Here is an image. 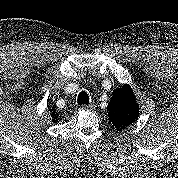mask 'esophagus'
Segmentation results:
<instances>
[{
    "label": "esophagus",
    "instance_id": "34e87169",
    "mask_svg": "<svg viewBox=\"0 0 178 178\" xmlns=\"http://www.w3.org/2000/svg\"><path fill=\"white\" fill-rule=\"evenodd\" d=\"M81 110H86V109H93V105H81L80 106Z\"/></svg>",
    "mask_w": 178,
    "mask_h": 178
}]
</instances>
